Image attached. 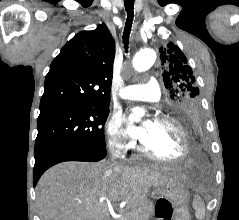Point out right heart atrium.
Wrapping results in <instances>:
<instances>
[{"label": "right heart atrium", "mask_w": 239, "mask_h": 220, "mask_svg": "<svg viewBox=\"0 0 239 220\" xmlns=\"http://www.w3.org/2000/svg\"><path fill=\"white\" fill-rule=\"evenodd\" d=\"M107 144L110 150L117 156L124 155L133 147V143L128 141L123 130V118L118 113L109 116L105 125Z\"/></svg>", "instance_id": "d8ad5b80"}]
</instances>
